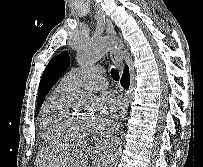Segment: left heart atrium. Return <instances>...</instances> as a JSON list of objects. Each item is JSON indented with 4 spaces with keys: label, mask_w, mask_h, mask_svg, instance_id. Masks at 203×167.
Listing matches in <instances>:
<instances>
[{
    "label": "left heart atrium",
    "mask_w": 203,
    "mask_h": 167,
    "mask_svg": "<svg viewBox=\"0 0 203 167\" xmlns=\"http://www.w3.org/2000/svg\"><path fill=\"white\" fill-rule=\"evenodd\" d=\"M122 109V100L114 91H105L98 98L97 114L93 124L97 128L109 126L117 118Z\"/></svg>",
    "instance_id": "1"
}]
</instances>
